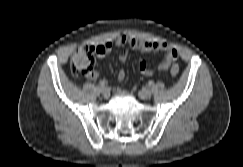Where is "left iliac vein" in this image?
<instances>
[{"mask_svg":"<svg viewBox=\"0 0 243 167\" xmlns=\"http://www.w3.org/2000/svg\"><path fill=\"white\" fill-rule=\"evenodd\" d=\"M139 97L141 98V99H150L151 98V96H152V92L149 90V89H147V88H142L140 91H139Z\"/></svg>","mask_w":243,"mask_h":167,"instance_id":"4c4485c4","label":"left iliac vein"}]
</instances>
